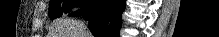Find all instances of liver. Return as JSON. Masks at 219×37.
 Listing matches in <instances>:
<instances>
[{
  "instance_id": "6515ba94",
  "label": "liver",
  "mask_w": 219,
  "mask_h": 37,
  "mask_svg": "<svg viewBox=\"0 0 219 37\" xmlns=\"http://www.w3.org/2000/svg\"><path fill=\"white\" fill-rule=\"evenodd\" d=\"M80 21L73 19H57L52 25L49 37H92ZM84 32V33H82Z\"/></svg>"
}]
</instances>
